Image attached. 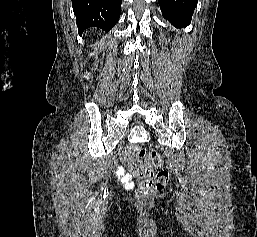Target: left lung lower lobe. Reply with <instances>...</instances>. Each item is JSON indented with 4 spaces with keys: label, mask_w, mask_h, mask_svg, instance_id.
<instances>
[{
    "label": "left lung lower lobe",
    "mask_w": 257,
    "mask_h": 237,
    "mask_svg": "<svg viewBox=\"0 0 257 237\" xmlns=\"http://www.w3.org/2000/svg\"><path fill=\"white\" fill-rule=\"evenodd\" d=\"M198 0H158L162 15L176 28L186 27L191 22Z\"/></svg>",
    "instance_id": "1"
}]
</instances>
